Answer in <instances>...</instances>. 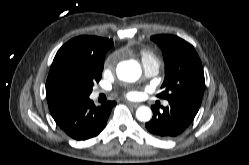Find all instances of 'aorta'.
Here are the masks:
<instances>
[{"label": "aorta", "instance_id": "762f6f07", "mask_svg": "<svg viewBox=\"0 0 249 165\" xmlns=\"http://www.w3.org/2000/svg\"><path fill=\"white\" fill-rule=\"evenodd\" d=\"M117 76L120 80L134 82L141 76V67L134 60L121 62L117 67ZM136 117L141 122H147L152 117L149 107L141 106L136 111Z\"/></svg>", "mask_w": 249, "mask_h": 165}]
</instances>
